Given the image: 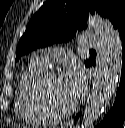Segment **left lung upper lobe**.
Instances as JSON below:
<instances>
[{"label":"left lung upper lobe","instance_id":"5c2ea615","mask_svg":"<svg viewBox=\"0 0 125 128\" xmlns=\"http://www.w3.org/2000/svg\"><path fill=\"white\" fill-rule=\"evenodd\" d=\"M108 18L114 29L125 23V0H51L45 2L21 37L16 61L39 47L71 40L76 30L87 28L88 13ZM93 58L85 61L87 65Z\"/></svg>","mask_w":125,"mask_h":128}]
</instances>
